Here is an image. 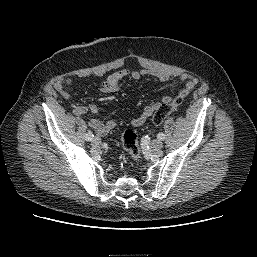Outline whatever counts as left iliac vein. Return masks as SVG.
I'll return each mask as SVG.
<instances>
[{"mask_svg": "<svg viewBox=\"0 0 257 257\" xmlns=\"http://www.w3.org/2000/svg\"><path fill=\"white\" fill-rule=\"evenodd\" d=\"M163 146V143L160 140H154L151 143V148L153 150H160Z\"/></svg>", "mask_w": 257, "mask_h": 257, "instance_id": "1", "label": "left iliac vein"}]
</instances>
